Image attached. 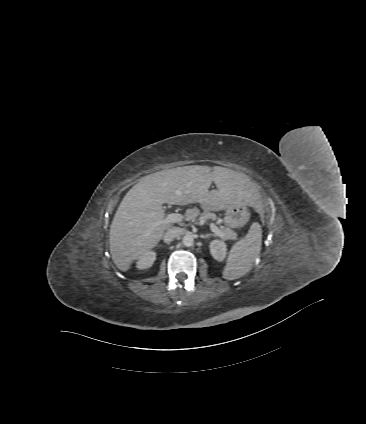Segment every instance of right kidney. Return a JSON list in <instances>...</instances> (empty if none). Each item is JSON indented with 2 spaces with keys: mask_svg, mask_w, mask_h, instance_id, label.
<instances>
[{
  "mask_svg": "<svg viewBox=\"0 0 366 424\" xmlns=\"http://www.w3.org/2000/svg\"><path fill=\"white\" fill-rule=\"evenodd\" d=\"M156 259V252L147 251L138 258L137 268L138 269H147L152 266Z\"/></svg>",
  "mask_w": 366,
  "mask_h": 424,
  "instance_id": "ca27d5eb",
  "label": "right kidney"
}]
</instances>
